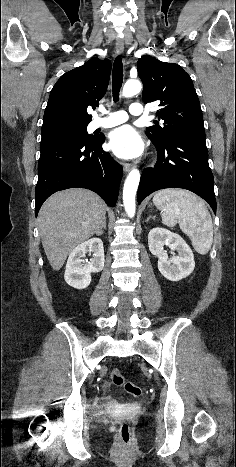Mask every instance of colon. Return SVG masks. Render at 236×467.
I'll list each match as a JSON object with an SVG mask.
<instances>
[{"instance_id":"colon-1","label":"colon","mask_w":236,"mask_h":467,"mask_svg":"<svg viewBox=\"0 0 236 467\" xmlns=\"http://www.w3.org/2000/svg\"><path fill=\"white\" fill-rule=\"evenodd\" d=\"M111 378H112V382L116 386L123 388L126 392L133 395L134 397H140L142 395V389L132 384L129 380H127L121 374L119 369L115 368L112 370ZM118 434H119V439L123 444L127 445L131 443L132 431L128 423L123 422L119 425Z\"/></svg>"}]
</instances>
